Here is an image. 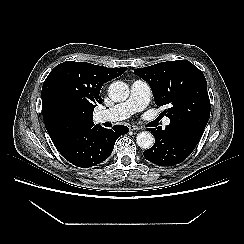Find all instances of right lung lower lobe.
I'll use <instances>...</instances> for the list:
<instances>
[{"instance_id":"right-lung-lower-lobe-1","label":"right lung lower lobe","mask_w":244,"mask_h":244,"mask_svg":"<svg viewBox=\"0 0 244 244\" xmlns=\"http://www.w3.org/2000/svg\"><path fill=\"white\" fill-rule=\"evenodd\" d=\"M128 132L123 125L106 129L100 125L71 130L55 140L60 154L77 167L89 168L105 161L112 153L117 138Z\"/></svg>"}]
</instances>
